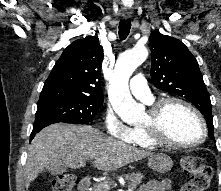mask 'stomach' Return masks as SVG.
I'll return each mask as SVG.
<instances>
[{
    "mask_svg": "<svg viewBox=\"0 0 221 191\" xmlns=\"http://www.w3.org/2000/svg\"><path fill=\"white\" fill-rule=\"evenodd\" d=\"M148 166L159 173H166L171 170L173 161L166 154H152L148 158Z\"/></svg>",
    "mask_w": 221,
    "mask_h": 191,
    "instance_id": "1",
    "label": "stomach"
}]
</instances>
